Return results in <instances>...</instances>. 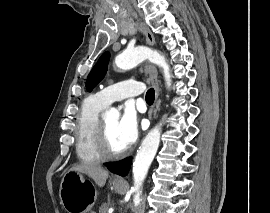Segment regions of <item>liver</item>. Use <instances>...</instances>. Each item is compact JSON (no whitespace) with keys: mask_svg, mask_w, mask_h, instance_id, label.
I'll use <instances>...</instances> for the list:
<instances>
[{"mask_svg":"<svg viewBox=\"0 0 270 213\" xmlns=\"http://www.w3.org/2000/svg\"><path fill=\"white\" fill-rule=\"evenodd\" d=\"M70 171H76L88 175L99 187H103L105 185L109 176L108 171L101 166L88 163L74 165L71 167Z\"/></svg>","mask_w":270,"mask_h":213,"instance_id":"liver-1","label":"liver"}]
</instances>
